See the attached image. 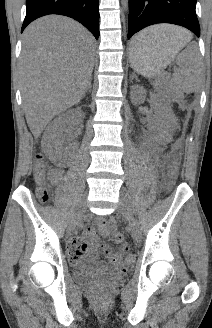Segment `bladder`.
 <instances>
[{"mask_svg": "<svg viewBox=\"0 0 212 328\" xmlns=\"http://www.w3.org/2000/svg\"><path fill=\"white\" fill-rule=\"evenodd\" d=\"M122 275L118 273H98L91 263L88 261L81 262L77 265L76 271L73 273L74 280L83 285L99 283L102 281H114L121 279Z\"/></svg>", "mask_w": 212, "mask_h": 328, "instance_id": "bladder-1", "label": "bladder"}]
</instances>
